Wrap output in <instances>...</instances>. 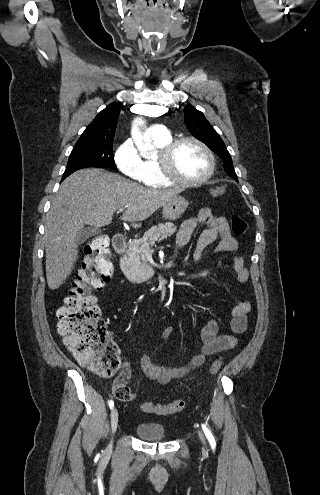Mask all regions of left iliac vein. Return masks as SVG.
<instances>
[{
	"label": "left iliac vein",
	"mask_w": 320,
	"mask_h": 495,
	"mask_svg": "<svg viewBox=\"0 0 320 495\" xmlns=\"http://www.w3.org/2000/svg\"><path fill=\"white\" fill-rule=\"evenodd\" d=\"M198 435H199V438H200L202 444L205 446L206 445V440H205L204 434L199 430L198 431Z\"/></svg>",
	"instance_id": "obj_1"
}]
</instances>
